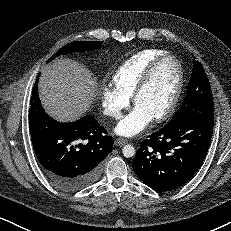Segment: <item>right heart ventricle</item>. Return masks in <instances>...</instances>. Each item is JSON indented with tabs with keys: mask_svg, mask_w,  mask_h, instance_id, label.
<instances>
[{
	"mask_svg": "<svg viewBox=\"0 0 231 231\" xmlns=\"http://www.w3.org/2000/svg\"><path fill=\"white\" fill-rule=\"evenodd\" d=\"M165 53L160 49H147L136 53L114 72V85L125 95L131 97L148 65Z\"/></svg>",
	"mask_w": 231,
	"mask_h": 231,
	"instance_id": "1",
	"label": "right heart ventricle"
}]
</instances>
